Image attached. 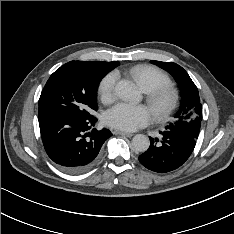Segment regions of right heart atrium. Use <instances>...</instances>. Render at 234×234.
<instances>
[{
	"label": "right heart atrium",
	"instance_id": "right-heart-atrium-1",
	"mask_svg": "<svg viewBox=\"0 0 234 234\" xmlns=\"http://www.w3.org/2000/svg\"><path fill=\"white\" fill-rule=\"evenodd\" d=\"M116 74L108 73L100 81L98 91L103 101H110L114 95Z\"/></svg>",
	"mask_w": 234,
	"mask_h": 234
}]
</instances>
